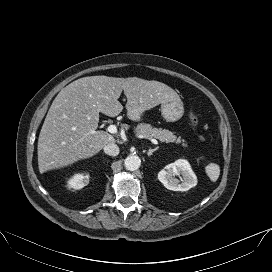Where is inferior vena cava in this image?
Wrapping results in <instances>:
<instances>
[{
    "mask_svg": "<svg viewBox=\"0 0 272 272\" xmlns=\"http://www.w3.org/2000/svg\"><path fill=\"white\" fill-rule=\"evenodd\" d=\"M104 152L109 156H117L119 154V147L115 143H108L104 146Z\"/></svg>",
    "mask_w": 272,
    "mask_h": 272,
    "instance_id": "obj_1",
    "label": "inferior vena cava"
}]
</instances>
